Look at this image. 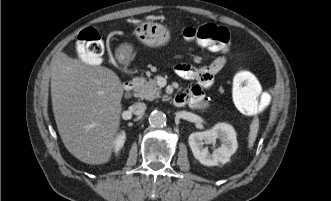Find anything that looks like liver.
Segmentation results:
<instances>
[{"mask_svg":"<svg viewBox=\"0 0 331 201\" xmlns=\"http://www.w3.org/2000/svg\"><path fill=\"white\" fill-rule=\"evenodd\" d=\"M51 98L61 140L78 160L107 163L117 139L123 85L114 71L63 52L51 60Z\"/></svg>","mask_w":331,"mask_h":201,"instance_id":"obj_1","label":"liver"}]
</instances>
